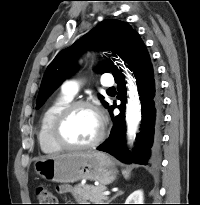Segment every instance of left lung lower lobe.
<instances>
[{"label":"left lung lower lobe","instance_id":"1","mask_svg":"<svg viewBox=\"0 0 200 205\" xmlns=\"http://www.w3.org/2000/svg\"><path fill=\"white\" fill-rule=\"evenodd\" d=\"M122 59L129 65L136 78L142 105L141 132L138 134L135 150L130 154L126 148L125 138V80L120 70L115 68L112 74L118 84L119 94L117 98L121 100V105L118 106L120 114L114 117L113 110L117 106L116 104L110 106L109 112L114 119V125L109 138L97 149L115 156L124 163L135 162L156 166L160 159L161 126L163 122L162 100L149 53L138 33L133 36Z\"/></svg>","mask_w":200,"mask_h":205}]
</instances>
